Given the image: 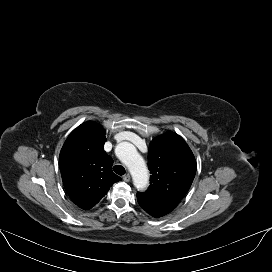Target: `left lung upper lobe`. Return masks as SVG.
I'll use <instances>...</instances> for the list:
<instances>
[{"label":"left lung upper lobe","mask_w":272,"mask_h":272,"mask_svg":"<svg viewBox=\"0 0 272 272\" xmlns=\"http://www.w3.org/2000/svg\"><path fill=\"white\" fill-rule=\"evenodd\" d=\"M150 186L137 193L139 205L158 218L170 213L189 190L195 173L196 161L189 146L176 133L156 137L148 150Z\"/></svg>","instance_id":"5c2ea615"}]
</instances>
